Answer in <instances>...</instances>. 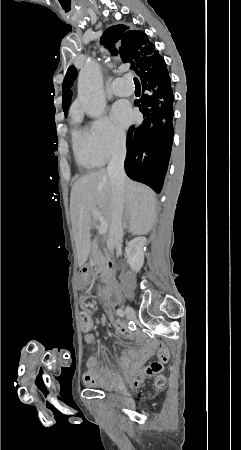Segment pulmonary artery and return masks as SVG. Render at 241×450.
Segmentation results:
<instances>
[{
    "label": "pulmonary artery",
    "instance_id": "obj_1",
    "mask_svg": "<svg viewBox=\"0 0 241 450\" xmlns=\"http://www.w3.org/2000/svg\"><path fill=\"white\" fill-rule=\"evenodd\" d=\"M111 81L114 83V90L112 93L117 97L126 96L122 92H130L133 80L131 78H120L118 74L111 76Z\"/></svg>",
    "mask_w": 241,
    "mask_h": 450
}]
</instances>
